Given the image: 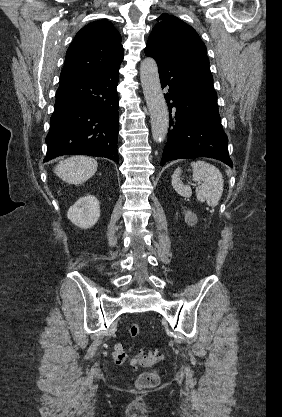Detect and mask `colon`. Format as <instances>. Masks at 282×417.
<instances>
[{"label":"colon","mask_w":282,"mask_h":417,"mask_svg":"<svg viewBox=\"0 0 282 417\" xmlns=\"http://www.w3.org/2000/svg\"><path fill=\"white\" fill-rule=\"evenodd\" d=\"M140 326L137 323H132L129 326V336L131 338H137L140 336ZM112 359L116 365L131 364L135 369L140 367H146L150 369V372L142 373L137 379V386L140 388H150L157 385L159 381V374L156 369H152V364L159 362L158 348H153V351L141 349L140 355L129 357L127 348L124 343H117L113 352Z\"/></svg>","instance_id":"colon-1"}]
</instances>
